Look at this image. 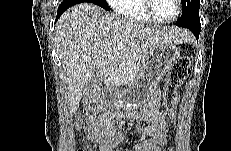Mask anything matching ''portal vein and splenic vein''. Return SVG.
Segmentation results:
<instances>
[{"label":"portal vein and splenic vein","instance_id":"1","mask_svg":"<svg viewBox=\"0 0 231 151\" xmlns=\"http://www.w3.org/2000/svg\"><path fill=\"white\" fill-rule=\"evenodd\" d=\"M117 48H118V49H121V48H123V44H121V43H118V44H117Z\"/></svg>","mask_w":231,"mask_h":151}]
</instances>
